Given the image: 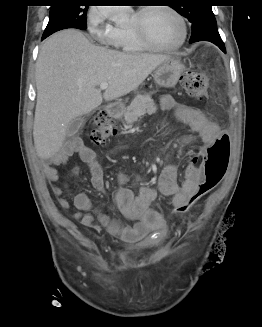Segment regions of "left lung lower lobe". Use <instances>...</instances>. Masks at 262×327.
I'll return each mask as SVG.
<instances>
[{
    "mask_svg": "<svg viewBox=\"0 0 262 327\" xmlns=\"http://www.w3.org/2000/svg\"><path fill=\"white\" fill-rule=\"evenodd\" d=\"M210 41L217 45L224 53H226L224 42L222 41L219 32L217 30V24L215 17L210 18L207 24L204 26H198V28L192 30L190 43L198 41Z\"/></svg>",
    "mask_w": 262,
    "mask_h": 327,
    "instance_id": "obj_1",
    "label": "left lung lower lobe"
}]
</instances>
